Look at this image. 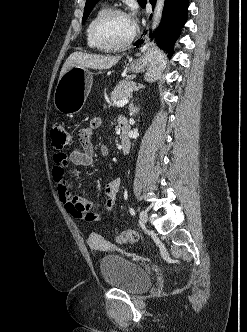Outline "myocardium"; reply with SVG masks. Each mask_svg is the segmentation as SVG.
Masks as SVG:
<instances>
[{
    "label": "myocardium",
    "mask_w": 247,
    "mask_h": 332,
    "mask_svg": "<svg viewBox=\"0 0 247 332\" xmlns=\"http://www.w3.org/2000/svg\"><path fill=\"white\" fill-rule=\"evenodd\" d=\"M116 14L127 15L126 12L120 8H110V9L105 10L103 13H101L94 20V22L91 26L92 38L104 50H108V51L122 50V49L128 47L133 42V40L135 39V37L138 33V27L134 24V29H133L132 33L129 35V37L125 41H123L119 44L106 43L99 34V28L103 22H105L108 18H110L111 16L116 15Z\"/></svg>",
    "instance_id": "f54148a6"
}]
</instances>
